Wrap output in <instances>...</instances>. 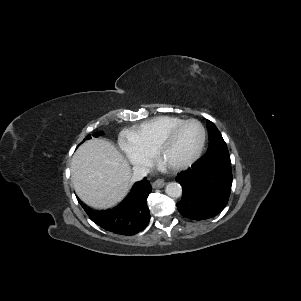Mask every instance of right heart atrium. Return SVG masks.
<instances>
[{
  "instance_id": "obj_1",
  "label": "right heart atrium",
  "mask_w": 301,
  "mask_h": 301,
  "mask_svg": "<svg viewBox=\"0 0 301 301\" xmlns=\"http://www.w3.org/2000/svg\"><path fill=\"white\" fill-rule=\"evenodd\" d=\"M120 149L134 167H147L152 162V154L139 147L128 135L119 138Z\"/></svg>"
}]
</instances>
